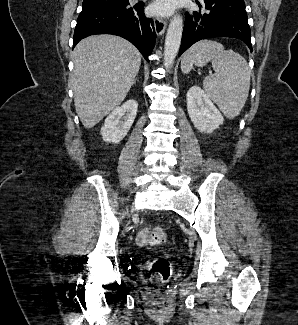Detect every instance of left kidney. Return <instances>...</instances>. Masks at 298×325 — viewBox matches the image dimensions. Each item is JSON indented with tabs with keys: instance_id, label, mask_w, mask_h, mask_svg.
Segmentation results:
<instances>
[{
	"instance_id": "left-kidney-1",
	"label": "left kidney",
	"mask_w": 298,
	"mask_h": 325,
	"mask_svg": "<svg viewBox=\"0 0 298 325\" xmlns=\"http://www.w3.org/2000/svg\"><path fill=\"white\" fill-rule=\"evenodd\" d=\"M187 112L200 132H213L219 124H223L222 116L217 106L213 104L203 88L194 84L190 86L186 94Z\"/></svg>"
}]
</instances>
